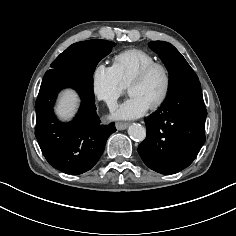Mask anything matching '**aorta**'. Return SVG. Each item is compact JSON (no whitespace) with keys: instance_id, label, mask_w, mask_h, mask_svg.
Segmentation results:
<instances>
[{"instance_id":"1","label":"aorta","mask_w":236,"mask_h":236,"mask_svg":"<svg viewBox=\"0 0 236 236\" xmlns=\"http://www.w3.org/2000/svg\"><path fill=\"white\" fill-rule=\"evenodd\" d=\"M129 136L136 141H143L146 138V129L141 125L134 123L128 128Z\"/></svg>"}]
</instances>
